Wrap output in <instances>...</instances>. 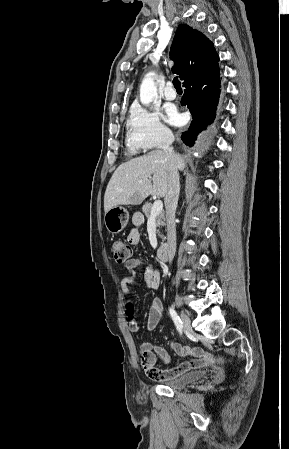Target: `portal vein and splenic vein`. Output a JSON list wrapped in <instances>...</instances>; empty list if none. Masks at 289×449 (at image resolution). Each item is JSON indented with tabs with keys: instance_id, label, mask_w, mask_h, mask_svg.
Returning a JSON list of instances; mask_svg holds the SVG:
<instances>
[{
	"instance_id": "18ae733b",
	"label": "portal vein and splenic vein",
	"mask_w": 289,
	"mask_h": 449,
	"mask_svg": "<svg viewBox=\"0 0 289 449\" xmlns=\"http://www.w3.org/2000/svg\"><path fill=\"white\" fill-rule=\"evenodd\" d=\"M142 180L139 181L141 183ZM163 210V203L161 200H156L151 209V217H156Z\"/></svg>"
}]
</instances>
